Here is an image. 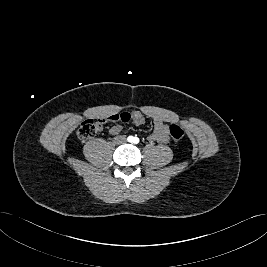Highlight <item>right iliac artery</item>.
<instances>
[{"mask_svg": "<svg viewBox=\"0 0 267 267\" xmlns=\"http://www.w3.org/2000/svg\"><path fill=\"white\" fill-rule=\"evenodd\" d=\"M127 140H128L129 142H132V141H133V137H132V136H129V137L127 138Z\"/></svg>", "mask_w": 267, "mask_h": 267, "instance_id": "82829eb1", "label": "right iliac artery"}]
</instances>
